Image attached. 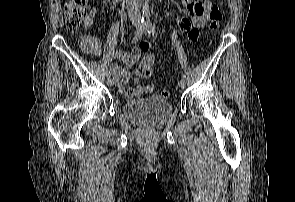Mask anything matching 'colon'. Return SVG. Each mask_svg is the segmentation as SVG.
<instances>
[{"instance_id":"colon-1","label":"colon","mask_w":295,"mask_h":202,"mask_svg":"<svg viewBox=\"0 0 295 202\" xmlns=\"http://www.w3.org/2000/svg\"><path fill=\"white\" fill-rule=\"evenodd\" d=\"M87 0H66L64 4L65 25L68 31L78 32L86 19ZM222 13L217 5H213L209 12V28L216 30L221 22ZM196 39V38H195ZM193 39V40H195ZM84 49H89L88 44H83ZM141 65L137 66V71L144 74L154 75L153 61H155L154 52H144V56H140ZM144 90H154V82H146ZM163 98L170 96L169 90L161 92Z\"/></svg>"}]
</instances>
